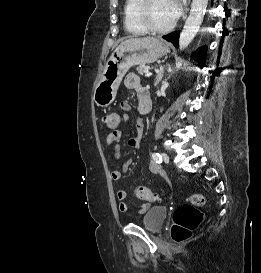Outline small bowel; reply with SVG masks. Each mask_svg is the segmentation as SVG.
Wrapping results in <instances>:
<instances>
[{
	"label": "small bowel",
	"mask_w": 261,
	"mask_h": 273,
	"mask_svg": "<svg viewBox=\"0 0 261 273\" xmlns=\"http://www.w3.org/2000/svg\"><path fill=\"white\" fill-rule=\"evenodd\" d=\"M124 85L127 89L135 91L136 98L138 101V107L140 110L141 103L143 101L144 95L147 93L146 90L141 86L140 84V79L139 77L134 74V73H128L125 78H124ZM120 109L123 112V117H122V123H126L128 121V112L131 109V106L128 102H123L120 105ZM143 121L141 117L137 118V123H136V129H135V134L128 140V146L132 149H139L140 148V143H141V138H142V133H143ZM121 138V130L116 129L112 132H110L107 135L106 138V143L109 146H113V151H114V157L115 159H120L121 156V150L119 146V141ZM133 164V160L129 159L126 162H124L121 166L120 169L113 170L111 172V178L114 181H119L123 174L128 172L129 168ZM150 169L152 172L159 173L160 170L156 165H151ZM117 197L120 200L119 203V209L121 212H128L131 210V206L126 202L127 198V192L124 189H118L117 190ZM148 209V204H143L139 207V212L143 213Z\"/></svg>",
	"instance_id": "c3829d8e"
}]
</instances>
